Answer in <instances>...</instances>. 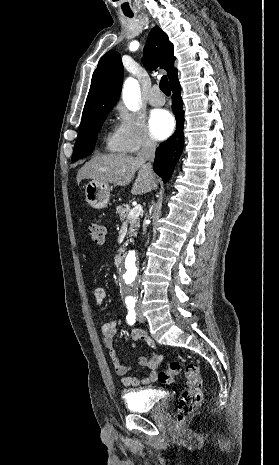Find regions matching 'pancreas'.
I'll use <instances>...</instances> for the list:
<instances>
[{
	"instance_id": "pancreas-1",
	"label": "pancreas",
	"mask_w": 279,
	"mask_h": 465,
	"mask_svg": "<svg viewBox=\"0 0 279 465\" xmlns=\"http://www.w3.org/2000/svg\"><path fill=\"white\" fill-rule=\"evenodd\" d=\"M130 210L131 209L129 205L118 206L116 213L118 214L121 221H127L130 224L128 232L129 236H137V230L140 227V219L138 217L128 218ZM127 242H131V240H128Z\"/></svg>"
}]
</instances>
